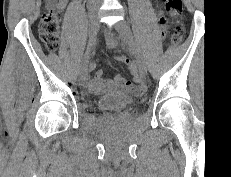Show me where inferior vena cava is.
Instances as JSON below:
<instances>
[{
    "label": "inferior vena cava",
    "instance_id": "1",
    "mask_svg": "<svg viewBox=\"0 0 231 177\" xmlns=\"http://www.w3.org/2000/svg\"><path fill=\"white\" fill-rule=\"evenodd\" d=\"M90 2H99L100 0H89Z\"/></svg>",
    "mask_w": 231,
    "mask_h": 177
}]
</instances>
